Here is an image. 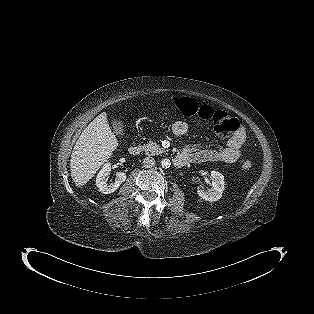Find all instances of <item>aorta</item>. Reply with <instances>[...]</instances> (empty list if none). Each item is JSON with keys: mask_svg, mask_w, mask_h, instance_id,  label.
<instances>
[{"mask_svg": "<svg viewBox=\"0 0 314 314\" xmlns=\"http://www.w3.org/2000/svg\"><path fill=\"white\" fill-rule=\"evenodd\" d=\"M170 165H171V162H170V160L168 158H164V159L161 160V166L163 168H169Z\"/></svg>", "mask_w": 314, "mask_h": 314, "instance_id": "aorta-1", "label": "aorta"}]
</instances>
